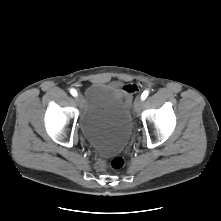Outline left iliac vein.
I'll use <instances>...</instances> for the list:
<instances>
[{"label": "left iliac vein", "mask_w": 221, "mask_h": 221, "mask_svg": "<svg viewBox=\"0 0 221 221\" xmlns=\"http://www.w3.org/2000/svg\"><path fill=\"white\" fill-rule=\"evenodd\" d=\"M143 108V100L141 97H137L134 101V110L139 113Z\"/></svg>", "instance_id": "obj_1"}]
</instances>
